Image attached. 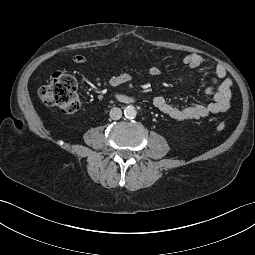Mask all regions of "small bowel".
I'll list each match as a JSON object with an SVG mask.
<instances>
[{
	"label": "small bowel",
	"instance_id": "obj_1",
	"mask_svg": "<svg viewBox=\"0 0 255 255\" xmlns=\"http://www.w3.org/2000/svg\"><path fill=\"white\" fill-rule=\"evenodd\" d=\"M73 61L76 63H85L87 58L84 55H76L73 57ZM182 62L191 69H198L205 63L203 57L195 53L186 54L182 58ZM146 73L151 77H156L160 74V69L152 65L147 68ZM214 73L215 79H213L205 89V92L212 96L210 102L206 104L177 107L170 104L165 97L158 95L152 100L153 106L163 114L177 121L196 120L210 114H217L228 110L231 100L232 81L228 77L227 70L223 65L217 64L214 68ZM132 79L133 75L129 72H125L110 77L108 85L117 87L130 82Z\"/></svg>",
	"mask_w": 255,
	"mask_h": 255
}]
</instances>
